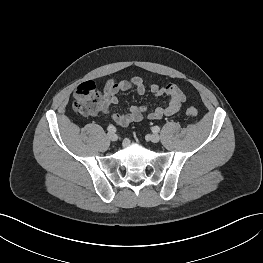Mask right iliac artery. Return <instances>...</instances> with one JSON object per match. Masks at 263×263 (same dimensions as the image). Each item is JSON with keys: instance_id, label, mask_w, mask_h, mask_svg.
I'll return each mask as SVG.
<instances>
[{"instance_id": "82829eb1", "label": "right iliac artery", "mask_w": 263, "mask_h": 263, "mask_svg": "<svg viewBox=\"0 0 263 263\" xmlns=\"http://www.w3.org/2000/svg\"><path fill=\"white\" fill-rule=\"evenodd\" d=\"M107 130H108L109 132H116V128H115L113 125H109L108 128H107Z\"/></svg>"}]
</instances>
